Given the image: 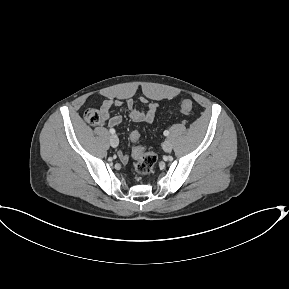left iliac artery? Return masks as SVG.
Returning <instances> with one entry per match:
<instances>
[{
  "instance_id": "44dca946",
  "label": "left iliac artery",
  "mask_w": 289,
  "mask_h": 289,
  "mask_svg": "<svg viewBox=\"0 0 289 289\" xmlns=\"http://www.w3.org/2000/svg\"><path fill=\"white\" fill-rule=\"evenodd\" d=\"M163 134H164L165 136H168V135H169V131H168V130H165Z\"/></svg>"
}]
</instances>
